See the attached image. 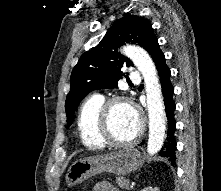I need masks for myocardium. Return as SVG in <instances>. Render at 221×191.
I'll list each match as a JSON object with an SVG mask.
<instances>
[{"label": "myocardium", "mask_w": 221, "mask_h": 191, "mask_svg": "<svg viewBox=\"0 0 221 191\" xmlns=\"http://www.w3.org/2000/svg\"><path fill=\"white\" fill-rule=\"evenodd\" d=\"M125 105L131 108L137 115V108L131 99L124 96H115L104 101L99 111L98 133L102 143L110 147H127L135 144L143 133V122L138 118V128L135 134L128 140H117L111 131V114L116 106ZM138 117V115H137Z\"/></svg>", "instance_id": "1"}]
</instances>
